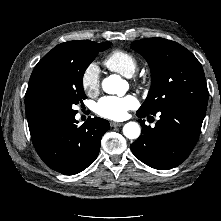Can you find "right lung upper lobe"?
<instances>
[{
    "label": "right lung upper lobe",
    "instance_id": "obj_1",
    "mask_svg": "<svg viewBox=\"0 0 221 221\" xmlns=\"http://www.w3.org/2000/svg\"><path fill=\"white\" fill-rule=\"evenodd\" d=\"M80 42H84V41H70V42L61 43V44L57 45L55 48H53L45 56H49V55H52V54H54L58 51L65 50L66 48H68L72 45L78 44ZM34 86H35V75H34V73H32L31 77H30V80H29L28 89H27L26 95H25V105L26 106L35 103V101L33 99Z\"/></svg>",
    "mask_w": 221,
    "mask_h": 221
}]
</instances>
